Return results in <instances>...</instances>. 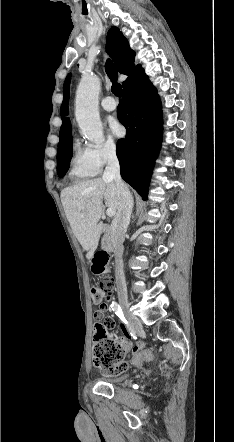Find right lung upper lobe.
<instances>
[{"instance_id": "1", "label": "right lung upper lobe", "mask_w": 234, "mask_h": 442, "mask_svg": "<svg viewBox=\"0 0 234 442\" xmlns=\"http://www.w3.org/2000/svg\"><path fill=\"white\" fill-rule=\"evenodd\" d=\"M106 48L113 58L119 72L127 75L124 85L129 79L143 72L141 65L134 64L135 52L129 47V43L118 28L112 27L107 34ZM70 75L67 76L63 87V102L61 105L62 125L60 128V140L58 146L64 145L71 135V123L68 117Z\"/></svg>"}]
</instances>
